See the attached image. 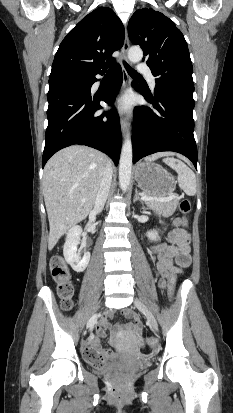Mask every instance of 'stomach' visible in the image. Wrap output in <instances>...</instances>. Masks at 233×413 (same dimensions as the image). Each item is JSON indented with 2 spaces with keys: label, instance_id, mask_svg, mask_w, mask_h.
<instances>
[{
  "label": "stomach",
  "instance_id": "obj_1",
  "mask_svg": "<svg viewBox=\"0 0 233 413\" xmlns=\"http://www.w3.org/2000/svg\"><path fill=\"white\" fill-rule=\"evenodd\" d=\"M135 179L146 194L156 197L170 195L176 187L174 177L161 165L150 161L136 166Z\"/></svg>",
  "mask_w": 233,
  "mask_h": 413
}]
</instances>
